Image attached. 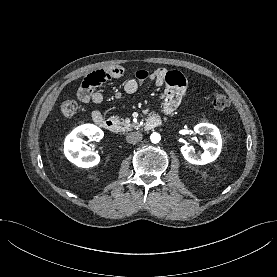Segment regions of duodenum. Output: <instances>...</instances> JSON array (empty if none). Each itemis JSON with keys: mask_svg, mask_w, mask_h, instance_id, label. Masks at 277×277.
Masks as SVG:
<instances>
[{"mask_svg": "<svg viewBox=\"0 0 277 277\" xmlns=\"http://www.w3.org/2000/svg\"><path fill=\"white\" fill-rule=\"evenodd\" d=\"M96 124L99 127H101L102 129H105L109 132H116L118 129L116 122L111 119L101 118V119L97 120ZM160 124H161L160 117L153 115L145 123V128L147 130H152V129L158 127Z\"/></svg>", "mask_w": 277, "mask_h": 277, "instance_id": "duodenum-1", "label": "duodenum"}]
</instances>
